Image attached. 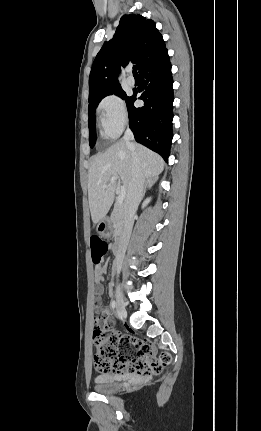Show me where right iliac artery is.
<instances>
[{
    "mask_svg": "<svg viewBox=\"0 0 261 431\" xmlns=\"http://www.w3.org/2000/svg\"><path fill=\"white\" fill-rule=\"evenodd\" d=\"M111 307H112V309H115V307H116V303L114 300L111 302Z\"/></svg>",
    "mask_w": 261,
    "mask_h": 431,
    "instance_id": "right-iliac-artery-1",
    "label": "right iliac artery"
}]
</instances>
